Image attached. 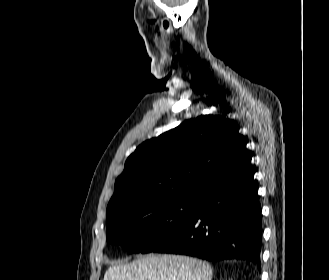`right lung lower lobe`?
Here are the masks:
<instances>
[{
	"instance_id": "98d812e1",
	"label": "right lung lower lobe",
	"mask_w": 329,
	"mask_h": 280,
	"mask_svg": "<svg viewBox=\"0 0 329 280\" xmlns=\"http://www.w3.org/2000/svg\"><path fill=\"white\" fill-rule=\"evenodd\" d=\"M250 161L213 182L189 220L152 252L243 259L260 268L261 208Z\"/></svg>"
}]
</instances>
